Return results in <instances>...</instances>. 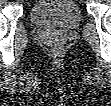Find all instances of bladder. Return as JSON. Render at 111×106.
<instances>
[{"label": "bladder", "instance_id": "obj_1", "mask_svg": "<svg viewBox=\"0 0 111 106\" xmlns=\"http://www.w3.org/2000/svg\"><path fill=\"white\" fill-rule=\"evenodd\" d=\"M30 19L38 27L67 32L82 21V12L73 0H38L30 10Z\"/></svg>", "mask_w": 111, "mask_h": 106}]
</instances>
